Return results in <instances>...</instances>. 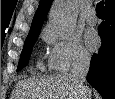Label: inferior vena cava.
I'll list each match as a JSON object with an SVG mask.
<instances>
[{
  "label": "inferior vena cava",
  "mask_w": 115,
  "mask_h": 99,
  "mask_svg": "<svg viewBox=\"0 0 115 99\" xmlns=\"http://www.w3.org/2000/svg\"><path fill=\"white\" fill-rule=\"evenodd\" d=\"M90 66V55L88 53H79L73 60L71 77L74 83L81 91L82 98H87L89 89L85 86L86 76Z\"/></svg>",
  "instance_id": "1"
}]
</instances>
